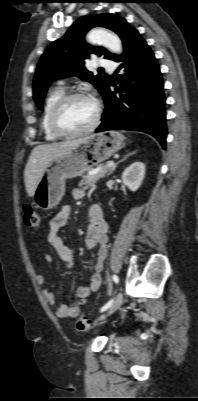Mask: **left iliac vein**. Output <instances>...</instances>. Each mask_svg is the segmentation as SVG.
Listing matches in <instances>:
<instances>
[{
    "instance_id": "4c4485c4",
    "label": "left iliac vein",
    "mask_w": 198,
    "mask_h": 401,
    "mask_svg": "<svg viewBox=\"0 0 198 401\" xmlns=\"http://www.w3.org/2000/svg\"><path fill=\"white\" fill-rule=\"evenodd\" d=\"M122 302H123V294L121 292H118L112 305L110 306V308L108 309V311L104 315V317H107V316L111 315L112 313H114L121 306Z\"/></svg>"
}]
</instances>
